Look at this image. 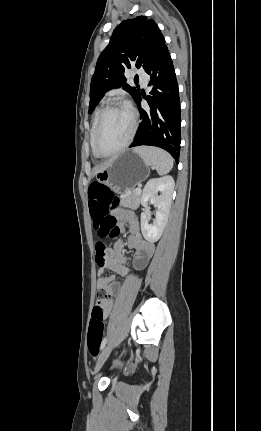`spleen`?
Here are the masks:
<instances>
[{"instance_id": "3e777b00", "label": "spleen", "mask_w": 261, "mask_h": 431, "mask_svg": "<svg viewBox=\"0 0 261 431\" xmlns=\"http://www.w3.org/2000/svg\"><path fill=\"white\" fill-rule=\"evenodd\" d=\"M145 163L156 169L158 174L164 175L173 168V159L166 151L155 147H137L134 149Z\"/></svg>"}]
</instances>
